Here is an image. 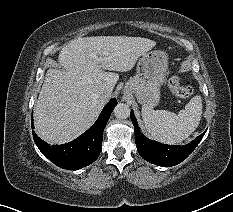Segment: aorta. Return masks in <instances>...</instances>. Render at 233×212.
Returning <instances> with one entry per match:
<instances>
[{
  "instance_id": "762f6f07",
  "label": "aorta",
  "mask_w": 233,
  "mask_h": 212,
  "mask_svg": "<svg viewBox=\"0 0 233 212\" xmlns=\"http://www.w3.org/2000/svg\"><path fill=\"white\" fill-rule=\"evenodd\" d=\"M114 115L118 119H126L130 115V108L127 104L119 103L114 108Z\"/></svg>"
}]
</instances>
